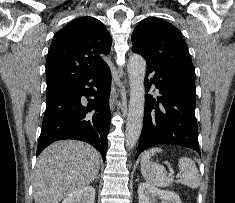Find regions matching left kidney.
<instances>
[{"mask_svg":"<svg viewBox=\"0 0 235 203\" xmlns=\"http://www.w3.org/2000/svg\"><path fill=\"white\" fill-rule=\"evenodd\" d=\"M139 203H157L158 199L160 203H182L179 196L169 190H161L149 183L143 182L138 186Z\"/></svg>","mask_w":235,"mask_h":203,"instance_id":"5707ae66","label":"left kidney"}]
</instances>
